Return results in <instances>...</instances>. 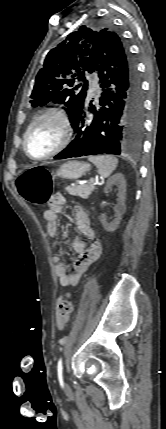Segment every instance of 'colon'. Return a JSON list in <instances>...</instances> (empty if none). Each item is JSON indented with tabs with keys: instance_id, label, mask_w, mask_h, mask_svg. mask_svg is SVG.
I'll return each instance as SVG.
<instances>
[{
	"instance_id": "5ec220e1",
	"label": "colon",
	"mask_w": 166,
	"mask_h": 429,
	"mask_svg": "<svg viewBox=\"0 0 166 429\" xmlns=\"http://www.w3.org/2000/svg\"><path fill=\"white\" fill-rule=\"evenodd\" d=\"M19 194L29 203L44 205L49 200L52 178L47 169L35 166L25 169L17 179ZM74 303L70 296L60 299L57 304V318L61 325L72 318Z\"/></svg>"
}]
</instances>
